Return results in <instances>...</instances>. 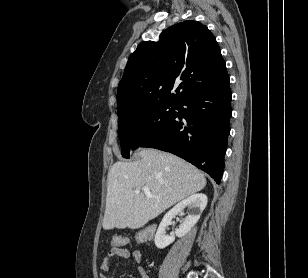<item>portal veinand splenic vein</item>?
Here are the masks:
<instances>
[{
	"instance_id": "portal-vein-and-splenic-vein-1",
	"label": "portal vein and splenic vein",
	"mask_w": 308,
	"mask_h": 278,
	"mask_svg": "<svg viewBox=\"0 0 308 278\" xmlns=\"http://www.w3.org/2000/svg\"><path fill=\"white\" fill-rule=\"evenodd\" d=\"M142 191L144 192V194L147 196V197H154V198H159L158 196H153L150 192V189L148 187H144L142 189ZM140 190H135L134 193H139Z\"/></svg>"
}]
</instances>
